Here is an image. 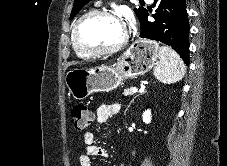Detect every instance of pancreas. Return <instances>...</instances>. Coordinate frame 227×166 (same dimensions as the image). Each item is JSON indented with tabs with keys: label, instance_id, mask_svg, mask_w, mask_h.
<instances>
[{
	"label": "pancreas",
	"instance_id": "pancreas-1",
	"mask_svg": "<svg viewBox=\"0 0 227 166\" xmlns=\"http://www.w3.org/2000/svg\"><path fill=\"white\" fill-rule=\"evenodd\" d=\"M131 89H132V88H127V89H125L124 92H123V95H125V96L132 95Z\"/></svg>",
	"mask_w": 227,
	"mask_h": 166
}]
</instances>
